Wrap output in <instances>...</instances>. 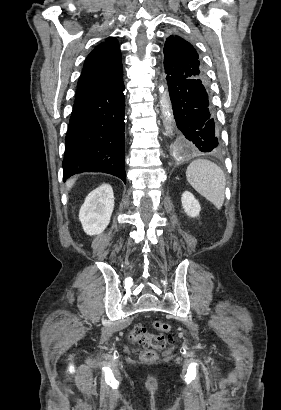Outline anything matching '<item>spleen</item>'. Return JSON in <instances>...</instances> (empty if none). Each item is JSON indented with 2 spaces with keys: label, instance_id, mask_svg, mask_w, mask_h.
<instances>
[{
  "label": "spleen",
  "instance_id": "3e777b00",
  "mask_svg": "<svg viewBox=\"0 0 281 410\" xmlns=\"http://www.w3.org/2000/svg\"><path fill=\"white\" fill-rule=\"evenodd\" d=\"M190 185L216 208L223 206L226 179L222 169L206 159L192 161L186 170Z\"/></svg>",
  "mask_w": 281,
  "mask_h": 410
}]
</instances>
